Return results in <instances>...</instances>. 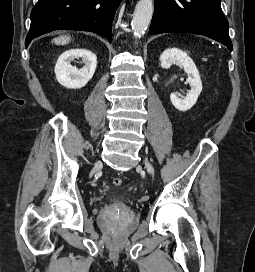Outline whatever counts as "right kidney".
Returning <instances> with one entry per match:
<instances>
[{"mask_svg": "<svg viewBox=\"0 0 255 272\" xmlns=\"http://www.w3.org/2000/svg\"><path fill=\"white\" fill-rule=\"evenodd\" d=\"M81 58L85 66L77 69L70 62ZM97 66V57L87 49H70L62 53L55 66L58 82L66 88L79 89L84 87L93 77Z\"/></svg>", "mask_w": 255, "mask_h": 272, "instance_id": "ca27d5eb", "label": "right kidney"}]
</instances>
